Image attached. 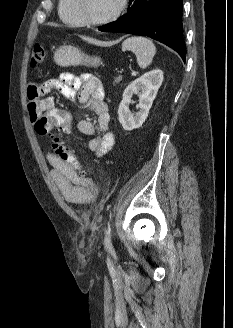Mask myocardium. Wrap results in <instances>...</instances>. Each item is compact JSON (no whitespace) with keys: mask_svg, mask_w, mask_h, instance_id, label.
Masks as SVG:
<instances>
[{"mask_svg":"<svg viewBox=\"0 0 233 328\" xmlns=\"http://www.w3.org/2000/svg\"><path fill=\"white\" fill-rule=\"evenodd\" d=\"M126 7H127V0H120L118 8L112 15L101 20H92L89 19L83 11V0H76L75 3L76 13L80 18V20L82 21V23L84 25L93 26V27L106 25L117 20L124 13Z\"/></svg>","mask_w":233,"mask_h":328,"instance_id":"f54148a6","label":"myocardium"}]
</instances>
